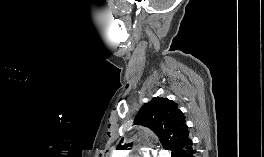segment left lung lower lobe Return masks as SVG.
I'll return each instance as SVG.
<instances>
[{"instance_id": "1", "label": "left lung lower lobe", "mask_w": 264, "mask_h": 157, "mask_svg": "<svg viewBox=\"0 0 264 157\" xmlns=\"http://www.w3.org/2000/svg\"><path fill=\"white\" fill-rule=\"evenodd\" d=\"M193 143L191 139L183 142L172 154V157H196V151L192 147Z\"/></svg>"}]
</instances>
